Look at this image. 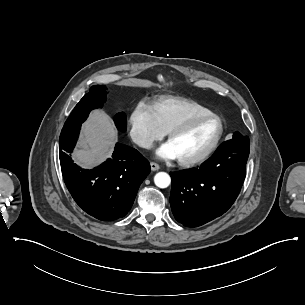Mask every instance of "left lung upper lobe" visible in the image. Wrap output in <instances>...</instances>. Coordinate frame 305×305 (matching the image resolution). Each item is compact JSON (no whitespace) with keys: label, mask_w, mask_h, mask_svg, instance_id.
I'll return each mask as SVG.
<instances>
[{"label":"left lung upper lobe","mask_w":305,"mask_h":305,"mask_svg":"<svg viewBox=\"0 0 305 305\" xmlns=\"http://www.w3.org/2000/svg\"><path fill=\"white\" fill-rule=\"evenodd\" d=\"M240 137H242V135L239 132H236V133H234L232 139H236V138H240Z\"/></svg>","instance_id":"1"}]
</instances>
